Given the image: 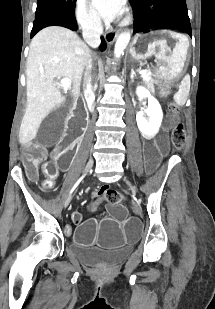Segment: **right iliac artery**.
Masks as SVG:
<instances>
[{"instance_id": "right-iliac-artery-1", "label": "right iliac artery", "mask_w": 215, "mask_h": 309, "mask_svg": "<svg viewBox=\"0 0 215 309\" xmlns=\"http://www.w3.org/2000/svg\"><path fill=\"white\" fill-rule=\"evenodd\" d=\"M84 178V176H82L72 187L70 194L76 189V187L79 185V183L82 181V179Z\"/></svg>"}]
</instances>
